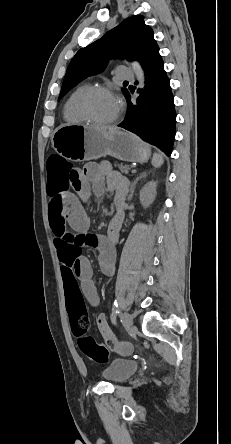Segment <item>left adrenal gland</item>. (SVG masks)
<instances>
[{"label":"left adrenal gland","instance_id":"1","mask_svg":"<svg viewBox=\"0 0 231 444\" xmlns=\"http://www.w3.org/2000/svg\"><path fill=\"white\" fill-rule=\"evenodd\" d=\"M146 175H147L146 172H142V173L140 174V176L137 177V178L131 183L130 194H129L128 198H127L128 201H130V200L132 199V197H133V193H134L135 185L137 184V182H138L139 180H141L142 178H145Z\"/></svg>","mask_w":231,"mask_h":444}]
</instances>
